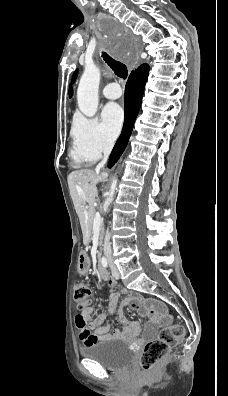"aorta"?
Wrapping results in <instances>:
<instances>
[{"label": "aorta", "instance_id": "obj_1", "mask_svg": "<svg viewBox=\"0 0 228 396\" xmlns=\"http://www.w3.org/2000/svg\"><path fill=\"white\" fill-rule=\"evenodd\" d=\"M100 82V70L95 65H87L80 79L77 90V101L80 111L87 117H93L98 109V89ZM117 185V179L114 178L107 193V198L103 205V210L108 211L113 201Z\"/></svg>", "mask_w": 228, "mask_h": 396}]
</instances>
